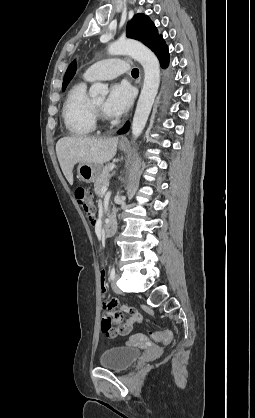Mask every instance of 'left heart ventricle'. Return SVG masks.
Wrapping results in <instances>:
<instances>
[{
	"label": "left heart ventricle",
	"mask_w": 255,
	"mask_h": 418,
	"mask_svg": "<svg viewBox=\"0 0 255 418\" xmlns=\"http://www.w3.org/2000/svg\"><path fill=\"white\" fill-rule=\"evenodd\" d=\"M94 103L97 105V106H101L102 104H103V101L102 100H96V101H94Z\"/></svg>",
	"instance_id": "b2bd125f"
}]
</instances>
